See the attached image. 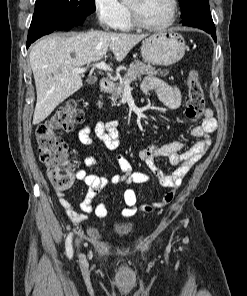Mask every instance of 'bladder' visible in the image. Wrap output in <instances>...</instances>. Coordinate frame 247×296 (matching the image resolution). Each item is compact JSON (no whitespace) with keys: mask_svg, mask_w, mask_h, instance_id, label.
Listing matches in <instances>:
<instances>
[{"mask_svg":"<svg viewBox=\"0 0 247 296\" xmlns=\"http://www.w3.org/2000/svg\"><path fill=\"white\" fill-rule=\"evenodd\" d=\"M131 231V228L128 227V226H118L116 227V232L119 234V235H127L129 234Z\"/></svg>","mask_w":247,"mask_h":296,"instance_id":"1","label":"bladder"}]
</instances>
